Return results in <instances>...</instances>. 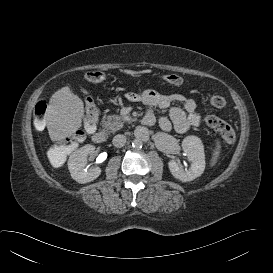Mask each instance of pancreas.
Segmentation results:
<instances>
[{
	"label": "pancreas",
	"mask_w": 273,
	"mask_h": 273,
	"mask_svg": "<svg viewBox=\"0 0 273 273\" xmlns=\"http://www.w3.org/2000/svg\"><path fill=\"white\" fill-rule=\"evenodd\" d=\"M131 118H123L118 115H109L102 121V126L109 133H114L123 128L125 122H132Z\"/></svg>",
	"instance_id": "1"
}]
</instances>
